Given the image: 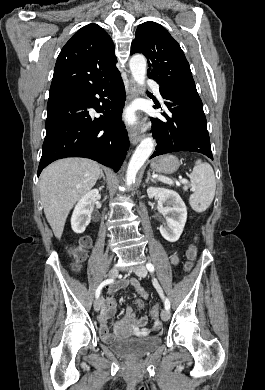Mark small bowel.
Listing matches in <instances>:
<instances>
[{"label":"small bowel","mask_w":265,"mask_h":390,"mask_svg":"<svg viewBox=\"0 0 265 390\" xmlns=\"http://www.w3.org/2000/svg\"><path fill=\"white\" fill-rule=\"evenodd\" d=\"M171 260L174 264L178 263V257L176 255H173ZM129 285L134 287L141 298L137 300L133 306L126 308L124 315L119 321V324L131 327L134 333L138 335H145L148 333L147 325L149 322V317L146 313L140 314L138 312V310L144 309L145 301L147 300L148 295L136 279H126L111 285L107 290L106 297L103 302L102 312L99 316L100 333L105 341H109L113 338V335L110 333L108 328V320L114 315L115 312V294L119 289L125 288ZM154 327L158 326L154 324Z\"/></svg>","instance_id":"obj_1"}]
</instances>
